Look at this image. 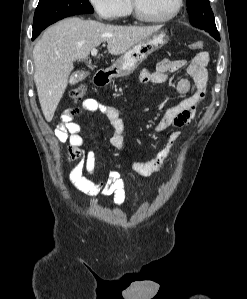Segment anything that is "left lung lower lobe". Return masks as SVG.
<instances>
[{"mask_svg":"<svg viewBox=\"0 0 247 299\" xmlns=\"http://www.w3.org/2000/svg\"><path fill=\"white\" fill-rule=\"evenodd\" d=\"M216 40H220L219 34L210 33Z\"/></svg>","mask_w":247,"mask_h":299,"instance_id":"left-lung-lower-lobe-1","label":"left lung lower lobe"}]
</instances>
